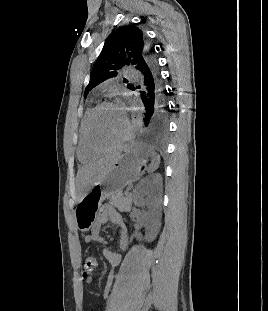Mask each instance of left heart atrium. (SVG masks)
Segmentation results:
<instances>
[{
	"instance_id": "left-heart-atrium-1",
	"label": "left heart atrium",
	"mask_w": 268,
	"mask_h": 311,
	"mask_svg": "<svg viewBox=\"0 0 268 311\" xmlns=\"http://www.w3.org/2000/svg\"><path fill=\"white\" fill-rule=\"evenodd\" d=\"M118 110H120L121 111V113H122V111H123V107H122V105L121 104H118L117 106H115ZM123 114V113H122Z\"/></svg>"
}]
</instances>
